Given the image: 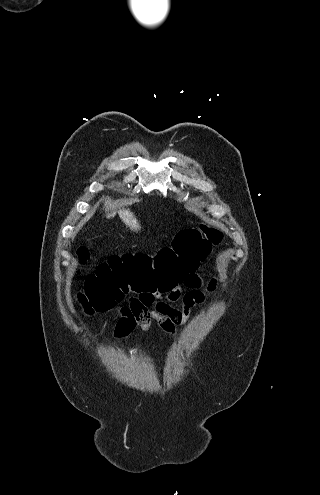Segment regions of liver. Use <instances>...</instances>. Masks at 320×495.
<instances>
[{
  "label": "liver",
  "mask_w": 320,
  "mask_h": 495,
  "mask_svg": "<svg viewBox=\"0 0 320 495\" xmlns=\"http://www.w3.org/2000/svg\"><path fill=\"white\" fill-rule=\"evenodd\" d=\"M114 214L115 212L108 214L107 217H113ZM118 214L122 222L125 223L126 227H129L131 231H138L141 228L138 220L129 209H120Z\"/></svg>",
  "instance_id": "liver-1"
}]
</instances>
